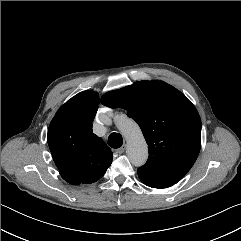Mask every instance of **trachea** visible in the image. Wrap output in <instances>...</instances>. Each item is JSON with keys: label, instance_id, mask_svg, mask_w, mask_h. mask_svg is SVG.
<instances>
[{"label": "trachea", "instance_id": "trachea-1", "mask_svg": "<svg viewBox=\"0 0 241 241\" xmlns=\"http://www.w3.org/2000/svg\"><path fill=\"white\" fill-rule=\"evenodd\" d=\"M123 144L122 136L119 133H112L108 137V145L112 148H119Z\"/></svg>", "mask_w": 241, "mask_h": 241}]
</instances>
